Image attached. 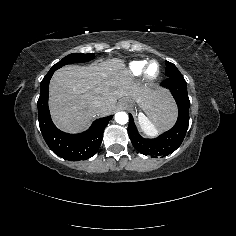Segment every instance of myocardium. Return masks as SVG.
<instances>
[{
  "instance_id": "myocardium-1",
  "label": "myocardium",
  "mask_w": 236,
  "mask_h": 236,
  "mask_svg": "<svg viewBox=\"0 0 236 236\" xmlns=\"http://www.w3.org/2000/svg\"><path fill=\"white\" fill-rule=\"evenodd\" d=\"M152 63H157L159 65V72L156 75L149 74V66ZM161 74H162V67H161V64L157 60L148 61L143 69V76H144L145 80H147V81H155L161 76Z\"/></svg>"
}]
</instances>
